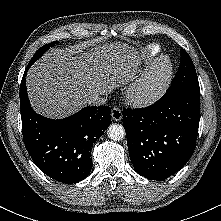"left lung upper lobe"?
I'll return each mask as SVG.
<instances>
[{"label":"left lung upper lobe","instance_id":"obj_1","mask_svg":"<svg viewBox=\"0 0 221 221\" xmlns=\"http://www.w3.org/2000/svg\"><path fill=\"white\" fill-rule=\"evenodd\" d=\"M189 88L200 89L193 62L188 53L181 49L180 65L168 90L174 91Z\"/></svg>","mask_w":221,"mask_h":221}]
</instances>
